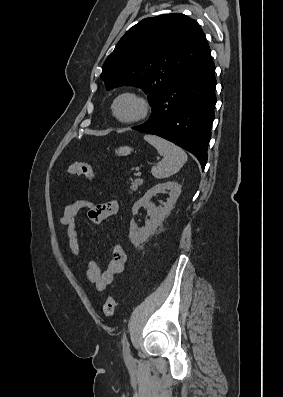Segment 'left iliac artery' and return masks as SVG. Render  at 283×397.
I'll return each mask as SVG.
<instances>
[{
  "mask_svg": "<svg viewBox=\"0 0 283 397\" xmlns=\"http://www.w3.org/2000/svg\"><path fill=\"white\" fill-rule=\"evenodd\" d=\"M122 345H123L124 357H125V359H129V357H130V349H129V343H128V338H127L126 333H124V335H123Z\"/></svg>",
  "mask_w": 283,
  "mask_h": 397,
  "instance_id": "obj_1",
  "label": "left iliac artery"
}]
</instances>
